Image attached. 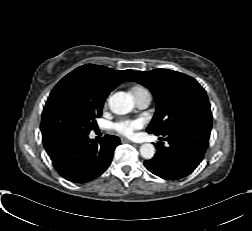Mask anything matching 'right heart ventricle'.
I'll return each instance as SVG.
<instances>
[{
	"mask_svg": "<svg viewBox=\"0 0 252 231\" xmlns=\"http://www.w3.org/2000/svg\"><path fill=\"white\" fill-rule=\"evenodd\" d=\"M143 91H147L145 88L143 87H140V86H136L132 89V93L133 95L136 94V93H139V92H143Z\"/></svg>",
	"mask_w": 252,
	"mask_h": 231,
	"instance_id": "e07e8e85",
	"label": "right heart ventricle"
}]
</instances>
